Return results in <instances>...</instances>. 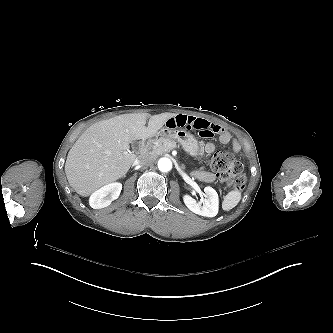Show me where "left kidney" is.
I'll return each mask as SVG.
<instances>
[{"mask_svg": "<svg viewBox=\"0 0 333 333\" xmlns=\"http://www.w3.org/2000/svg\"><path fill=\"white\" fill-rule=\"evenodd\" d=\"M207 199L201 205L188 193L182 194L184 205L193 213L204 217H214L218 213L219 199L217 192L207 186L204 188Z\"/></svg>", "mask_w": 333, "mask_h": 333, "instance_id": "1", "label": "left kidney"}]
</instances>
